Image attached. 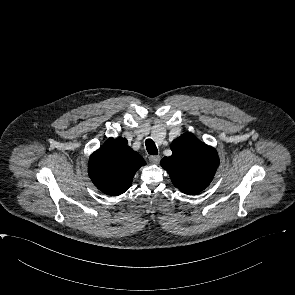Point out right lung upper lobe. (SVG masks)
<instances>
[{"instance_id": "obj_1", "label": "right lung upper lobe", "mask_w": 295, "mask_h": 295, "mask_svg": "<svg viewBox=\"0 0 295 295\" xmlns=\"http://www.w3.org/2000/svg\"><path fill=\"white\" fill-rule=\"evenodd\" d=\"M125 138H109L89 159L88 173L103 193L116 196L130 188L136 171L146 164Z\"/></svg>"}]
</instances>
